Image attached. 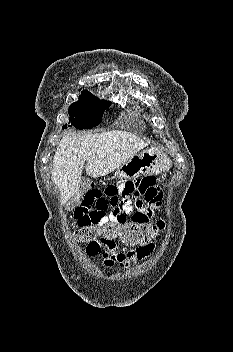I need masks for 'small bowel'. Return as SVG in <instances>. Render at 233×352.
<instances>
[{"instance_id": "obj_1", "label": "small bowel", "mask_w": 233, "mask_h": 352, "mask_svg": "<svg viewBox=\"0 0 233 352\" xmlns=\"http://www.w3.org/2000/svg\"><path fill=\"white\" fill-rule=\"evenodd\" d=\"M79 195L80 202L73 215L78 226L92 220L100 227L109 222L119 225L152 223L162 203V192L152 176L104 189L84 180ZM152 250L151 244L120 248L116 240H107L87 245L85 252L89 257H101L106 267H128L130 262L145 258Z\"/></svg>"}]
</instances>
